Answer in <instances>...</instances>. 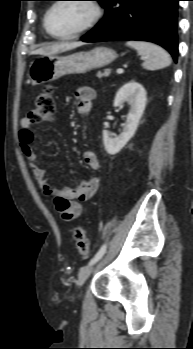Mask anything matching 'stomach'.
<instances>
[{
	"label": "stomach",
	"instance_id": "obj_1",
	"mask_svg": "<svg viewBox=\"0 0 193 349\" xmlns=\"http://www.w3.org/2000/svg\"><path fill=\"white\" fill-rule=\"evenodd\" d=\"M117 57L113 49L96 47L66 56H44L29 65L28 76L33 85H41L67 74H83L112 63Z\"/></svg>",
	"mask_w": 193,
	"mask_h": 349
}]
</instances>
